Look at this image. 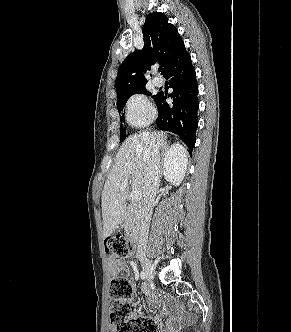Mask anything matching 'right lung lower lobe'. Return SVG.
I'll list each match as a JSON object with an SVG mask.
<instances>
[{
  "instance_id": "right-lung-lower-lobe-1",
  "label": "right lung lower lobe",
  "mask_w": 291,
  "mask_h": 332,
  "mask_svg": "<svg viewBox=\"0 0 291 332\" xmlns=\"http://www.w3.org/2000/svg\"><path fill=\"white\" fill-rule=\"evenodd\" d=\"M170 79L169 87L173 88L171 94L159 92L155 97L158 107L156 124L161 130L176 133L192 151L195 146V133L198 127L197 111L198 84L195 70L190 56L171 68L165 75ZM171 97L173 103H166Z\"/></svg>"
}]
</instances>
